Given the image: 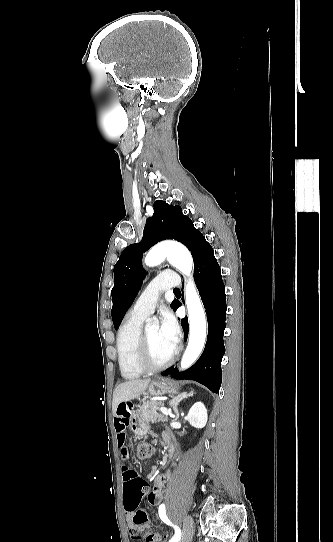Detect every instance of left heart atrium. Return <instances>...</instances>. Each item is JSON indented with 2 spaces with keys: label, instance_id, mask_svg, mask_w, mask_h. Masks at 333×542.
Here are the masks:
<instances>
[{
  "label": "left heart atrium",
  "instance_id": "1",
  "mask_svg": "<svg viewBox=\"0 0 333 542\" xmlns=\"http://www.w3.org/2000/svg\"><path fill=\"white\" fill-rule=\"evenodd\" d=\"M160 331L169 343L176 348L181 338V331L176 318L170 311L163 312Z\"/></svg>",
  "mask_w": 333,
  "mask_h": 542
}]
</instances>
